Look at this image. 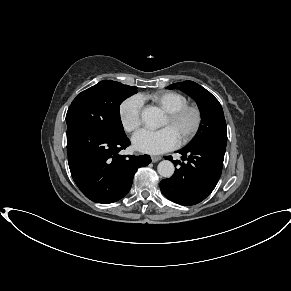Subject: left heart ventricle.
<instances>
[{"instance_id": "left-heart-ventricle-1", "label": "left heart ventricle", "mask_w": 291, "mask_h": 291, "mask_svg": "<svg viewBox=\"0 0 291 291\" xmlns=\"http://www.w3.org/2000/svg\"><path fill=\"white\" fill-rule=\"evenodd\" d=\"M194 117L191 114L186 115L176 123H171L167 116L165 117L162 127H169L178 140L182 139L193 127Z\"/></svg>"}]
</instances>
